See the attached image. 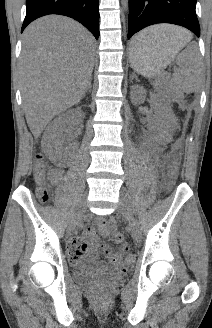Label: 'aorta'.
Returning a JSON list of instances; mask_svg holds the SVG:
<instances>
[{
  "label": "aorta",
  "instance_id": "762f6f07",
  "mask_svg": "<svg viewBox=\"0 0 212 328\" xmlns=\"http://www.w3.org/2000/svg\"><path fill=\"white\" fill-rule=\"evenodd\" d=\"M121 4H122L124 10H127L128 0H121Z\"/></svg>",
  "mask_w": 212,
  "mask_h": 328
}]
</instances>
